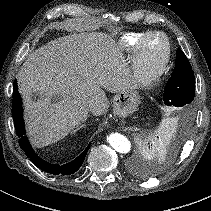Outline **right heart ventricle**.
<instances>
[{"instance_id": "e07e8e85", "label": "right heart ventricle", "mask_w": 211, "mask_h": 211, "mask_svg": "<svg viewBox=\"0 0 211 211\" xmlns=\"http://www.w3.org/2000/svg\"><path fill=\"white\" fill-rule=\"evenodd\" d=\"M148 32H128L120 40V48L129 55H134L135 47L138 41Z\"/></svg>"}]
</instances>
